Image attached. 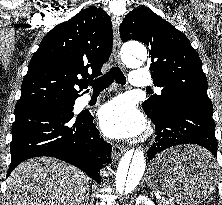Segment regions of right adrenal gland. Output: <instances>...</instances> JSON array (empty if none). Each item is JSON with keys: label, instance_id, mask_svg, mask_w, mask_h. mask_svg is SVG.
Listing matches in <instances>:
<instances>
[{"label": "right adrenal gland", "instance_id": "obj_1", "mask_svg": "<svg viewBox=\"0 0 222 205\" xmlns=\"http://www.w3.org/2000/svg\"><path fill=\"white\" fill-rule=\"evenodd\" d=\"M87 201H88V198H87V200L85 201V203L83 205H88Z\"/></svg>", "mask_w": 222, "mask_h": 205}]
</instances>
